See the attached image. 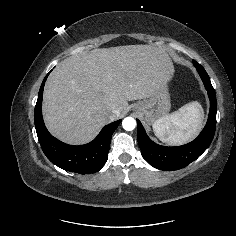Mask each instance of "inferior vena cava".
I'll return each instance as SVG.
<instances>
[{
	"mask_svg": "<svg viewBox=\"0 0 236 236\" xmlns=\"http://www.w3.org/2000/svg\"><path fill=\"white\" fill-rule=\"evenodd\" d=\"M112 113H113V114H115V113H116V110L112 111ZM113 114H111V115H110V117H112V116H113Z\"/></svg>",
	"mask_w": 236,
	"mask_h": 236,
	"instance_id": "inferior-vena-cava-1",
	"label": "inferior vena cava"
}]
</instances>
